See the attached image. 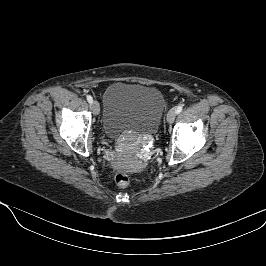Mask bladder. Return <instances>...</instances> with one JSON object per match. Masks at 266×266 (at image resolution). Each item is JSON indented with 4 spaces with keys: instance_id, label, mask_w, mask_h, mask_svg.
I'll use <instances>...</instances> for the list:
<instances>
[{
    "instance_id": "bladder-1",
    "label": "bladder",
    "mask_w": 266,
    "mask_h": 266,
    "mask_svg": "<svg viewBox=\"0 0 266 266\" xmlns=\"http://www.w3.org/2000/svg\"><path fill=\"white\" fill-rule=\"evenodd\" d=\"M166 103L156 88L116 82L103 97L102 129L111 139L127 131L154 134L161 122Z\"/></svg>"
}]
</instances>
